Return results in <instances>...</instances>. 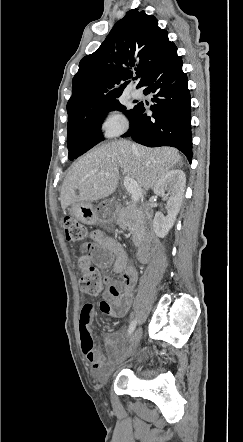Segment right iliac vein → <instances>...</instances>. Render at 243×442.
Segmentation results:
<instances>
[{
	"instance_id": "right-iliac-vein-1",
	"label": "right iliac vein",
	"mask_w": 243,
	"mask_h": 442,
	"mask_svg": "<svg viewBox=\"0 0 243 442\" xmlns=\"http://www.w3.org/2000/svg\"><path fill=\"white\" fill-rule=\"evenodd\" d=\"M142 337V329L139 327L134 334L131 337V345L129 349L126 351V353L123 355L122 360L126 359L136 348L137 344L139 343L140 339Z\"/></svg>"
}]
</instances>
